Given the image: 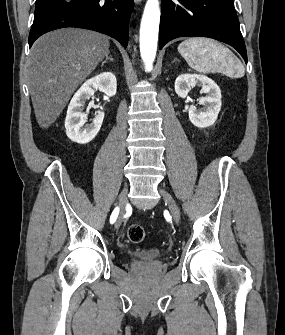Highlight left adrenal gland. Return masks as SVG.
Returning <instances> with one entry per match:
<instances>
[{
  "instance_id": "a2214340",
  "label": "left adrenal gland",
  "mask_w": 285,
  "mask_h": 335,
  "mask_svg": "<svg viewBox=\"0 0 285 335\" xmlns=\"http://www.w3.org/2000/svg\"><path fill=\"white\" fill-rule=\"evenodd\" d=\"M173 62H179V60H177V58H174Z\"/></svg>"
}]
</instances>
